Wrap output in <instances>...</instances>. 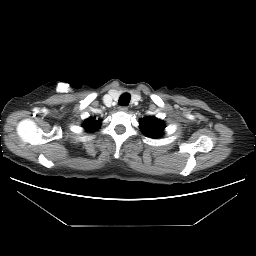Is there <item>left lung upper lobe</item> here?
Segmentation results:
<instances>
[{
  "label": "left lung upper lobe",
  "mask_w": 256,
  "mask_h": 256,
  "mask_svg": "<svg viewBox=\"0 0 256 256\" xmlns=\"http://www.w3.org/2000/svg\"><path fill=\"white\" fill-rule=\"evenodd\" d=\"M164 128V123L155 117H145L141 119L140 129L145 135L151 138L160 137L163 134Z\"/></svg>",
  "instance_id": "obj_1"
}]
</instances>
